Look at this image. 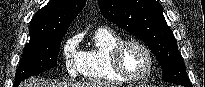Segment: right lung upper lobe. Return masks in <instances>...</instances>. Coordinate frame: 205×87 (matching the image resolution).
<instances>
[{"mask_svg":"<svg viewBox=\"0 0 205 87\" xmlns=\"http://www.w3.org/2000/svg\"><path fill=\"white\" fill-rule=\"evenodd\" d=\"M85 3L86 0H50L33 16L30 22V38L65 34Z\"/></svg>","mask_w":205,"mask_h":87,"instance_id":"right-lung-upper-lobe-1","label":"right lung upper lobe"}]
</instances>
